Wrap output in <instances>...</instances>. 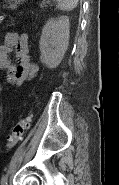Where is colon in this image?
Instances as JSON below:
<instances>
[{
	"instance_id": "1",
	"label": "colon",
	"mask_w": 119,
	"mask_h": 185,
	"mask_svg": "<svg viewBox=\"0 0 119 185\" xmlns=\"http://www.w3.org/2000/svg\"><path fill=\"white\" fill-rule=\"evenodd\" d=\"M31 121L29 114L23 115L20 120L14 125L10 135L7 137L6 148L13 149L23 138L25 131L28 129Z\"/></svg>"
}]
</instances>
